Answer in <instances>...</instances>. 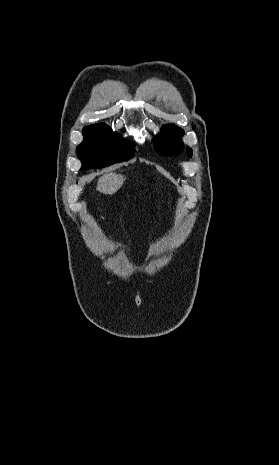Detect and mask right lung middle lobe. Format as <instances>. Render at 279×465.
<instances>
[{"label": "right lung middle lobe", "instance_id": "obj_1", "mask_svg": "<svg viewBox=\"0 0 279 465\" xmlns=\"http://www.w3.org/2000/svg\"><path fill=\"white\" fill-rule=\"evenodd\" d=\"M84 140L77 147L81 169L101 168L130 159L134 145L118 137L107 126H94L83 131Z\"/></svg>", "mask_w": 279, "mask_h": 465}]
</instances>
